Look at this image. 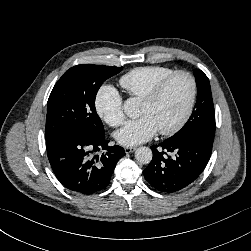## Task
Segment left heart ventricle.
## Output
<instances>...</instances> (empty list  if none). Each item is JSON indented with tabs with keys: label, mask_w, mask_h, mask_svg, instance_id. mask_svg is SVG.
I'll return each mask as SVG.
<instances>
[{
	"label": "left heart ventricle",
	"mask_w": 251,
	"mask_h": 251,
	"mask_svg": "<svg viewBox=\"0 0 251 251\" xmlns=\"http://www.w3.org/2000/svg\"><path fill=\"white\" fill-rule=\"evenodd\" d=\"M190 97V83L184 76L175 78L152 104L141 102L139 116H149L157 129H167L182 117Z\"/></svg>",
	"instance_id": "obj_1"
}]
</instances>
